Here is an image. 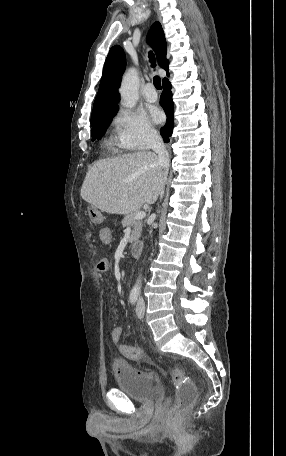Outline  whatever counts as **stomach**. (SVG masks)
<instances>
[{"mask_svg":"<svg viewBox=\"0 0 286 456\" xmlns=\"http://www.w3.org/2000/svg\"><path fill=\"white\" fill-rule=\"evenodd\" d=\"M88 214L93 222H97L102 217L101 213L94 206L89 207Z\"/></svg>","mask_w":286,"mask_h":456,"instance_id":"1","label":"stomach"}]
</instances>
